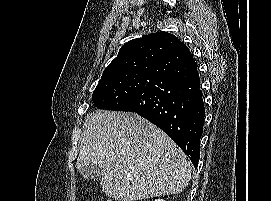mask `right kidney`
I'll return each mask as SVG.
<instances>
[{
  "instance_id": "obj_1",
  "label": "right kidney",
  "mask_w": 271,
  "mask_h": 201,
  "mask_svg": "<svg viewBox=\"0 0 271 201\" xmlns=\"http://www.w3.org/2000/svg\"><path fill=\"white\" fill-rule=\"evenodd\" d=\"M155 201H165V200L159 198V199H156Z\"/></svg>"
}]
</instances>
